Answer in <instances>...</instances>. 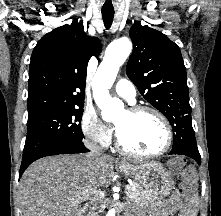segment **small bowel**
I'll return each mask as SVG.
<instances>
[{
  "label": "small bowel",
  "instance_id": "1",
  "mask_svg": "<svg viewBox=\"0 0 221 216\" xmlns=\"http://www.w3.org/2000/svg\"><path fill=\"white\" fill-rule=\"evenodd\" d=\"M197 202H183L179 192H173L170 198L161 206L158 216H196Z\"/></svg>",
  "mask_w": 221,
  "mask_h": 216
}]
</instances>
